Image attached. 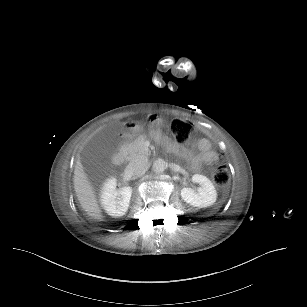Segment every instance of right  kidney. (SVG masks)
I'll list each match as a JSON object with an SVG mask.
<instances>
[{
    "instance_id": "ca27d5eb",
    "label": "right kidney",
    "mask_w": 307,
    "mask_h": 307,
    "mask_svg": "<svg viewBox=\"0 0 307 307\" xmlns=\"http://www.w3.org/2000/svg\"><path fill=\"white\" fill-rule=\"evenodd\" d=\"M116 179L109 180L102 192V204L107 213L113 217H121L128 211L132 197V187L124 186L116 189Z\"/></svg>"
}]
</instances>
